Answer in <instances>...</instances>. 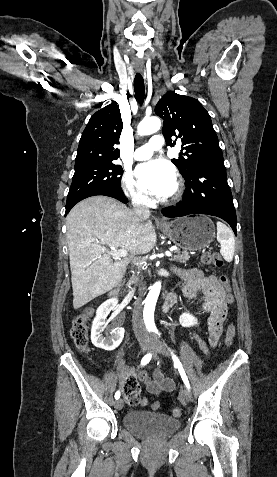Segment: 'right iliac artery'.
Segmentation results:
<instances>
[{"mask_svg": "<svg viewBox=\"0 0 277 477\" xmlns=\"http://www.w3.org/2000/svg\"><path fill=\"white\" fill-rule=\"evenodd\" d=\"M151 357L152 355L150 353L145 355L141 360V365H146L151 360ZM119 398H120V392L117 391L115 393V399H119Z\"/></svg>", "mask_w": 277, "mask_h": 477, "instance_id": "1", "label": "right iliac artery"}]
</instances>
